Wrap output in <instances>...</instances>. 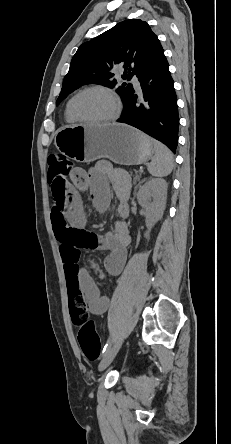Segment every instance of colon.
Masks as SVG:
<instances>
[{"mask_svg": "<svg viewBox=\"0 0 231 444\" xmlns=\"http://www.w3.org/2000/svg\"><path fill=\"white\" fill-rule=\"evenodd\" d=\"M79 170L71 160L59 153L49 156L48 181L51 183L54 198H57L59 188L64 187L71 175ZM68 294L70 314L78 329L77 337L81 350L89 361H95L100 355L101 341L95 325L90 319L85 299L74 284L69 285Z\"/></svg>", "mask_w": 231, "mask_h": 444, "instance_id": "obj_1", "label": "colon"}]
</instances>
